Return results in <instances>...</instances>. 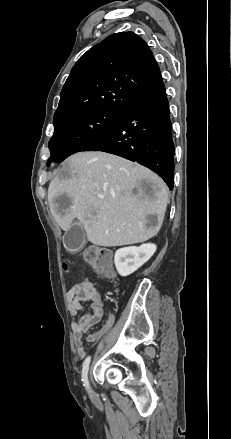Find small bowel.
Returning <instances> with one entry per match:
<instances>
[{
	"instance_id": "small-bowel-1",
	"label": "small bowel",
	"mask_w": 231,
	"mask_h": 439,
	"mask_svg": "<svg viewBox=\"0 0 231 439\" xmlns=\"http://www.w3.org/2000/svg\"><path fill=\"white\" fill-rule=\"evenodd\" d=\"M66 300L68 309L73 316L72 331L75 347L79 356H83L85 352V342L93 343L98 340L113 324L114 316L110 314L104 327L99 331L87 335L84 340V336L88 330L98 323L104 314L102 293L98 290L94 282L86 280L74 284L67 292ZM87 301L90 302V311L82 316H78V314L84 309L82 303Z\"/></svg>"
}]
</instances>
